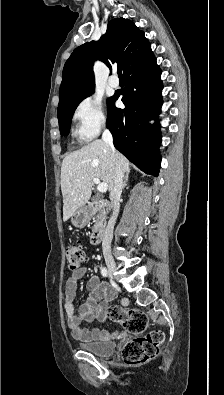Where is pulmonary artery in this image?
Masks as SVG:
<instances>
[{
  "mask_svg": "<svg viewBox=\"0 0 224 395\" xmlns=\"http://www.w3.org/2000/svg\"><path fill=\"white\" fill-rule=\"evenodd\" d=\"M109 85H110V87H112V88H117V87L119 86V80H118V78H117L116 76H112V77L109 79Z\"/></svg>",
  "mask_w": 224,
  "mask_h": 395,
  "instance_id": "1",
  "label": "pulmonary artery"
}]
</instances>
